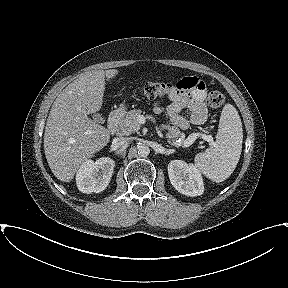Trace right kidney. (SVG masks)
<instances>
[{
  "label": "right kidney",
  "mask_w": 288,
  "mask_h": 288,
  "mask_svg": "<svg viewBox=\"0 0 288 288\" xmlns=\"http://www.w3.org/2000/svg\"><path fill=\"white\" fill-rule=\"evenodd\" d=\"M114 167L115 162L109 157L85 161L76 175L78 189L87 194L102 192L110 183Z\"/></svg>",
  "instance_id": "obj_1"
}]
</instances>
